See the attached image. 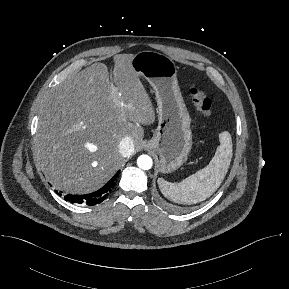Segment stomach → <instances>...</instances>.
I'll return each instance as SVG.
<instances>
[{
    "label": "stomach",
    "mask_w": 289,
    "mask_h": 289,
    "mask_svg": "<svg viewBox=\"0 0 289 289\" xmlns=\"http://www.w3.org/2000/svg\"><path fill=\"white\" fill-rule=\"evenodd\" d=\"M130 65L153 87L158 106V126L145 148L158 153L160 172H173L186 161L192 146L190 116L178 86L177 66L170 57L150 50L135 54Z\"/></svg>",
    "instance_id": "0dacf381"
}]
</instances>
